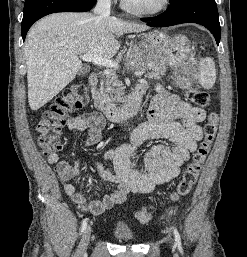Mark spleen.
<instances>
[{"label": "spleen", "instance_id": "1", "mask_svg": "<svg viewBox=\"0 0 247 257\" xmlns=\"http://www.w3.org/2000/svg\"><path fill=\"white\" fill-rule=\"evenodd\" d=\"M199 69V83L205 89L212 88L216 80V69L213 59L209 57L202 59L200 61Z\"/></svg>", "mask_w": 247, "mask_h": 257}]
</instances>
